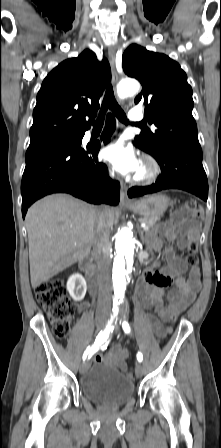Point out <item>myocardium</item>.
<instances>
[{
	"mask_svg": "<svg viewBox=\"0 0 221 448\" xmlns=\"http://www.w3.org/2000/svg\"><path fill=\"white\" fill-rule=\"evenodd\" d=\"M142 170L134 177V181L140 184H150L155 182L161 174L159 162L151 155H145L142 159Z\"/></svg>",
	"mask_w": 221,
	"mask_h": 448,
	"instance_id": "myocardium-1",
	"label": "myocardium"
}]
</instances>
